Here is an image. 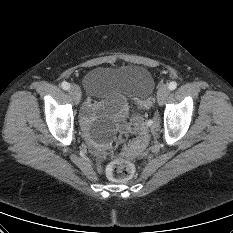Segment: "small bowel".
I'll return each mask as SVG.
<instances>
[{"label": "small bowel", "mask_w": 233, "mask_h": 233, "mask_svg": "<svg viewBox=\"0 0 233 233\" xmlns=\"http://www.w3.org/2000/svg\"><path fill=\"white\" fill-rule=\"evenodd\" d=\"M96 109H97V104L93 101H88L84 107V114L86 118L92 115Z\"/></svg>", "instance_id": "obj_1"}]
</instances>
